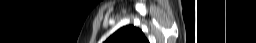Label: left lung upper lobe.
Here are the masks:
<instances>
[{"label":"left lung upper lobe","instance_id":"1","mask_svg":"<svg viewBox=\"0 0 256 43\" xmlns=\"http://www.w3.org/2000/svg\"><path fill=\"white\" fill-rule=\"evenodd\" d=\"M105 43H149L143 32L134 27L126 26L111 35Z\"/></svg>","mask_w":256,"mask_h":43}]
</instances>
